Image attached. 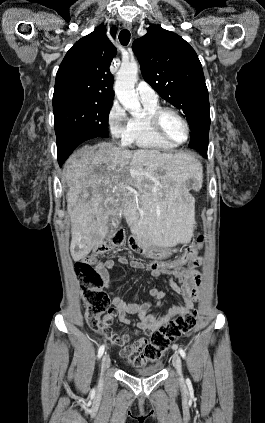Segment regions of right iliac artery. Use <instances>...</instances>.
<instances>
[{"mask_svg":"<svg viewBox=\"0 0 265 423\" xmlns=\"http://www.w3.org/2000/svg\"><path fill=\"white\" fill-rule=\"evenodd\" d=\"M104 350H105V346L104 345L100 346V348L98 350V358L99 359L102 357Z\"/></svg>","mask_w":265,"mask_h":423,"instance_id":"right-iliac-artery-1","label":"right iliac artery"}]
</instances>
